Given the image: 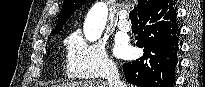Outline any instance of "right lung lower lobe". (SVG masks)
Listing matches in <instances>:
<instances>
[{
	"instance_id": "98d812e1",
	"label": "right lung lower lobe",
	"mask_w": 205,
	"mask_h": 87,
	"mask_svg": "<svg viewBox=\"0 0 205 87\" xmlns=\"http://www.w3.org/2000/svg\"><path fill=\"white\" fill-rule=\"evenodd\" d=\"M171 0H160L139 16L136 45L144 55L124 63L129 83L138 87H172L178 63L179 26Z\"/></svg>"
}]
</instances>
